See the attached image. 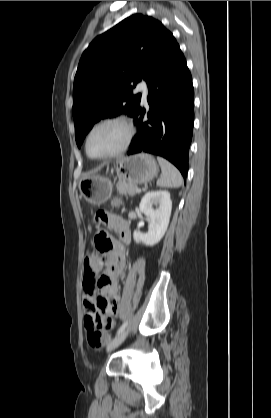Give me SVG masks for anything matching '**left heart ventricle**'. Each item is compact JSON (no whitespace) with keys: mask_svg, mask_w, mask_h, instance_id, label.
Wrapping results in <instances>:
<instances>
[{"mask_svg":"<svg viewBox=\"0 0 271 418\" xmlns=\"http://www.w3.org/2000/svg\"><path fill=\"white\" fill-rule=\"evenodd\" d=\"M125 139L124 129L117 124H107L96 129L89 140V152L102 156L118 149Z\"/></svg>","mask_w":271,"mask_h":418,"instance_id":"left-heart-ventricle-1","label":"left heart ventricle"}]
</instances>
